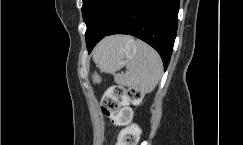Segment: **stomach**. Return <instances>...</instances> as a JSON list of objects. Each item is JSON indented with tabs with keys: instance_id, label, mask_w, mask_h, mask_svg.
I'll return each instance as SVG.
<instances>
[{
	"instance_id": "0dacf381",
	"label": "stomach",
	"mask_w": 243,
	"mask_h": 145,
	"mask_svg": "<svg viewBox=\"0 0 243 145\" xmlns=\"http://www.w3.org/2000/svg\"><path fill=\"white\" fill-rule=\"evenodd\" d=\"M137 53L136 43L129 36H112L103 40L94 53V61L104 72H114L123 67ZM93 81L100 82L97 73L93 74Z\"/></svg>"
}]
</instances>
